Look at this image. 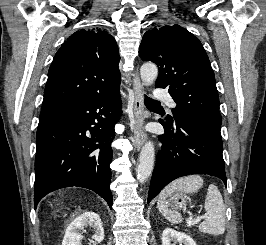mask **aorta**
<instances>
[{
  "label": "aorta",
  "mask_w": 266,
  "mask_h": 245,
  "mask_svg": "<svg viewBox=\"0 0 266 245\" xmlns=\"http://www.w3.org/2000/svg\"><path fill=\"white\" fill-rule=\"evenodd\" d=\"M140 76L143 84H147V86H149V84H153L154 80H156L158 76V68L156 64H152V62H145V64H142L140 68ZM154 159V145L152 141H147L141 149L139 163L136 169V175L139 183H145V181L149 179L153 171Z\"/></svg>",
  "instance_id": "obj_1"
}]
</instances>
